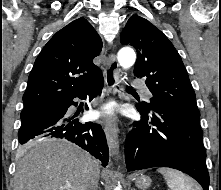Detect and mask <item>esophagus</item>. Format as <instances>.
<instances>
[{
    "label": "esophagus",
    "mask_w": 221,
    "mask_h": 190,
    "mask_svg": "<svg viewBox=\"0 0 221 190\" xmlns=\"http://www.w3.org/2000/svg\"><path fill=\"white\" fill-rule=\"evenodd\" d=\"M119 74L120 70L116 56L114 53H110L108 55V62L104 72L106 91L108 95L116 93V85L119 79ZM102 123L110 153L116 158H119V138L116 121L113 118H105Z\"/></svg>",
    "instance_id": "esophagus-1"
}]
</instances>
